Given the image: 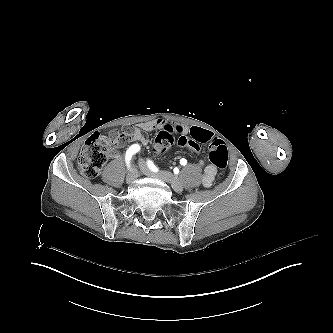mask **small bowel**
Segmentation results:
<instances>
[{
  "label": "small bowel",
  "mask_w": 333,
  "mask_h": 333,
  "mask_svg": "<svg viewBox=\"0 0 333 333\" xmlns=\"http://www.w3.org/2000/svg\"><path fill=\"white\" fill-rule=\"evenodd\" d=\"M169 123L161 118L152 120V121H147L140 123L139 125L130 128L131 129V134H130V139L129 141L133 143V145H139V144H147L148 139L143 135V132H150L154 131L157 129H166L170 128ZM182 132L183 133H190L191 137H198V138H210L211 134L209 131L202 129V128H191L189 131L188 126H183L182 127ZM123 133V132H122ZM185 136V135H183ZM187 139L188 137L185 136ZM203 165V162H201ZM217 178V169L213 165H206L204 167V175L202 177V184L204 187H210L213 182Z\"/></svg>",
  "instance_id": "1"
}]
</instances>
